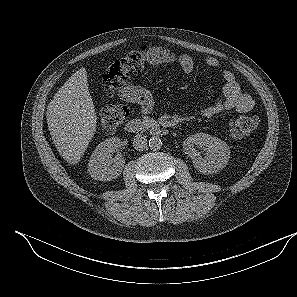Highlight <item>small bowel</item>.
<instances>
[{
    "instance_id": "obj_1",
    "label": "small bowel",
    "mask_w": 297,
    "mask_h": 297,
    "mask_svg": "<svg viewBox=\"0 0 297 297\" xmlns=\"http://www.w3.org/2000/svg\"><path fill=\"white\" fill-rule=\"evenodd\" d=\"M147 60L152 65H177L185 74H190L195 68V62L190 56L176 55L162 47L149 48ZM203 63L207 67L215 69L221 66L220 61L214 57L205 58ZM222 77L224 80L222 98L204 108L201 112L202 115L210 118L226 110H236L240 113L250 111L254 106V100L249 94L241 90L234 74L229 70H224ZM119 97L125 102L138 104L143 114L150 113L153 108L154 102L151 93L137 85L126 84L121 89Z\"/></svg>"
}]
</instances>
